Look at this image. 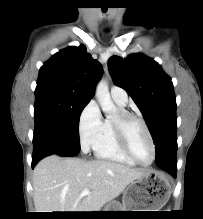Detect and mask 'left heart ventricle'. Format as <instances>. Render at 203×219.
<instances>
[{
	"instance_id": "left-heart-ventricle-1",
	"label": "left heart ventricle",
	"mask_w": 203,
	"mask_h": 219,
	"mask_svg": "<svg viewBox=\"0 0 203 219\" xmlns=\"http://www.w3.org/2000/svg\"><path fill=\"white\" fill-rule=\"evenodd\" d=\"M129 142L134 156L143 163L152 159V148L149 139L139 122H133L129 128Z\"/></svg>"
}]
</instances>
